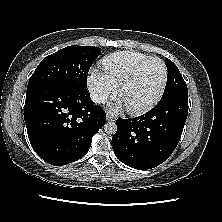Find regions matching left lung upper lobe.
Segmentation results:
<instances>
[{
	"label": "left lung upper lobe",
	"mask_w": 222,
	"mask_h": 222,
	"mask_svg": "<svg viewBox=\"0 0 222 222\" xmlns=\"http://www.w3.org/2000/svg\"><path fill=\"white\" fill-rule=\"evenodd\" d=\"M168 70L167 83L162 98L172 94H188L187 85L177 66L169 59H165Z\"/></svg>",
	"instance_id": "1"
}]
</instances>
